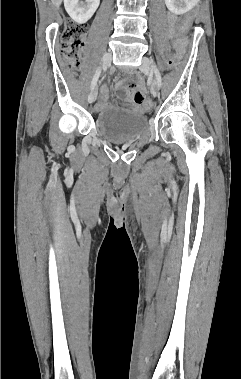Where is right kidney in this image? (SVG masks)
Here are the masks:
<instances>
[{
  "label": "right kidney",
  "mask_w": 241,
  "mask_h": 379,
  "mask_svg": "<svg viewBox=\"0 0 241 379\" xmlns=\"http://www.w3.org/2000/svg\"><path fill=\"white\" fill-rule=\"evenodd\" d=\"M100 0H64L65 10L73 21L79 24L86 23L95 13Z\"/></svg>",
  "instance_id": "right-kidney-1"
}]
</instances>
